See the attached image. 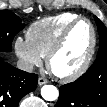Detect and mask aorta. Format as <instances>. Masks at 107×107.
<instances>
[{
    "instance_id": "1",
    "label": "aorta",
    "mask_w": 107,
    "mask_h": 107,
    "mask_svg": "<svg viewBox=\"0 0 107 107\" xmlns=\"http://www.w3.org/2000/svg\"><path fill=\"white\" fill-rule=\"evenodd\" d=\"M41 96L46 101H55L59 96V92L53 85H44L41 88Z\"/></svg>"
}]
</instances>
